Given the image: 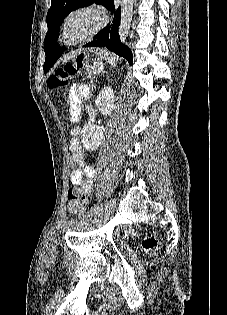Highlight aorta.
<instances>
[{"label": "aorta", "mask_w": 227, "mask_h": 315, "mask_svg": "<svg viewBox=\"0 0 227 315\" xmlns=\"http://www.w3.org/2000/svg\"><path fill=\"white\" fill-rule=\"evenodd\" d=\"M135 0H122L121 1V19L118 28V34L121 42H126L133 18V7Z\"/></svg>", "instance_id": "762f6f07"}]
</instances>
